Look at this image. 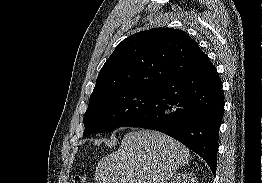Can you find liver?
I'll list each match as a JSON object with an SVG mask.
<instances>
[{
  "label": "liver",
  "mask_w": 262,
  "mask_h": 183,
  "mask_svg": "<svg viewBox=\"0 0 262 183\" xmlns=\"http://www.w3.org/2000/svg\"><path fill=\"white\" fill-rule=\"evenodd\" d=\"M190 159L183 144L163 133L132 131L116 152L98 162L95 183H168Z\"/></svg>",
  "instance_id": "1"
}]
</instances>
